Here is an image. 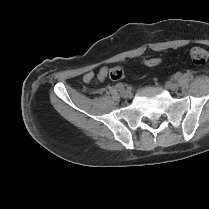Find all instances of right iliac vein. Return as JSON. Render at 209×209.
Segmentation results:
<instances>
[{"label":"right iliac vein","mask_w":209,"mask_h":209,"mask_svg":"<svg viewBox=\"0 0 209 209\" xmlns=\"http://www.w3.org/2000/svg\"><path fill=\"white\" fill-rule=\"evenodd\" d=\"M120 95H121L123 98H131L132 93H131L130 90L124 89V90H122V91L120 92Z\"/></svg>","instance_id":"right-iliac-vein-1"}]
</instances>
